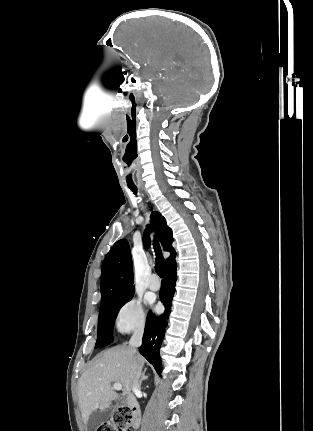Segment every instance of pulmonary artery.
I'll return each instance as SVG.
<instances>
[{"label": "pulmonary artery", "instance_id": "1", "mask_svg": "<svg viewBox=\"0 0 313 431\" xmlns=\"http://www.w3.org/2000/svg\"><path fill=\"white\" fill-rule=\"evenodd\" d=\"M149 289L157 291L160 289V282L156 275H152L148 284Z\"/></svg>", "mask_w": 313, "mask_h": 431}]
</instances>
